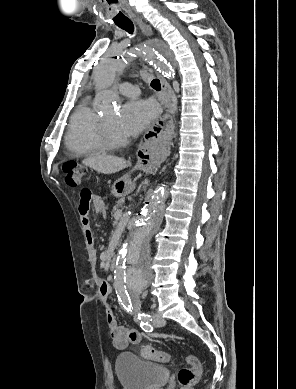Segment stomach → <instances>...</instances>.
I'll return each instance as SVG.
<instances>
[{"mask_svg": "<svg viewBox=\"0 0 296 389\" xmlns=\"http://www.w3.org/2000/svg\"><path fill=\"white\" fill-rule=\"evenodd\" d=\"M151 172V169H140V172L138 173L139 177L147 176ZM133 188V183L128 177H122L118 179L113 187H112V194L116 197H122L129 193Z\"/></svg>", "mask_w": 296, "mask_h": 389, "instance_id": "obj_1", "label": "stomach"}]
</instances>
